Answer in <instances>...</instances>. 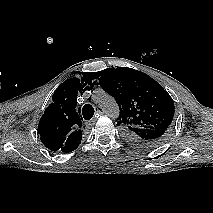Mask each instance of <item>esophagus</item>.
I'll list each match as a JSON object with an SVG mask.
<instances>
[{"label": "esophagus", "instance_id": "34e87169", "mask_svg": "<svg viewBox=\"0 0 213 213\" xmlns=\"http://www.w3.org/2000/svg\"><path fill=\"white\" fill-rule=\"evenodd\" d=\"M102 114H104L103 108L101 106H97L96 107V116L89 122V124L92 125L96 121L97 116L102 115Z\"/></svg>", "mask_w": 213, "mask_h": 213}]
</instances>
